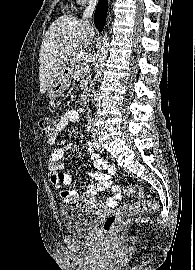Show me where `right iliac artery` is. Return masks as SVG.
<instances>
[{
  "instance_id": "right-iliac-artery-1",
  "label": "right iliac artery",
  "mask_w": 195,
  "mask_h": 270,
  "mask_svg": "<svg viewBox=\"0 0 195 270\" xmlns=\"http://www.w3.org/2000/svg\"><path fill=\"white\" fill-rule=\"evenodd\" d=\"M87 131H88L89 133L93 132V127H92L91 124L88 125Z\"/></svg>"
}]
</instances>
